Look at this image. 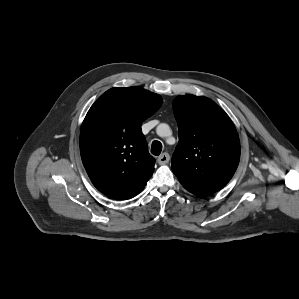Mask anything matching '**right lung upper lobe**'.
Masks as SVG:
<instances>
[{"instance_id":"cb5924a9","label":"right lung upper lobe","mask_w":299,"mask_h":299,"mask_svg":"<svg viewBox=\"0 0 299 299\" xmlns=\"http://www.w3.org/2000/svg\"><path fill=\"white\" fill-rule=\"evenodd\" d=\"M162 98L141 87H115L89 109L80 132V153L93 185L115 199L140 193L153 174L141 124Z\"/></svg>"}]
</instances>
